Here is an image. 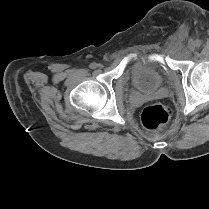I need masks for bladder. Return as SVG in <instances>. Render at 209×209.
<instances>
[{
	"label": "bladder",
	"mask_w": 209,
	"mask_h": 209,
	"mask_svg": "<svg viewBox=\"0 0 209 209\" xmlns=\"http://www.w3.org/2000/svg\"><path fill=\"white\" fill-rule=\"evenodd\" d=\"M130 76L134 87L143 94H153L161 88L165 76L158 61H141L130 69Z\"/></svg>",
	"instance_id": "bladder-1"
}]
</instances>
